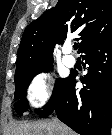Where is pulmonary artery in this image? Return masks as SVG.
I'll use <instances>...</instances> for the list:
<instances>
[{
	"mask_svg": "<svg viewBox=\"0 0 112 135\" xmlns=\"http://www.w3.org/2000/svg\"><path fill=\"white\" fill-rule=\"evenodd\" d=\"M71 48H72L71 46H65L62 49L63 53L62 61L68 67L74 66L76 62L75 58L70 54Z\"/></svg>",
	"mask_w": 112,
	"mask_h": 135,
	"instance_id": "1",
	"label": "pulmonary artery"
}]
</instances>
